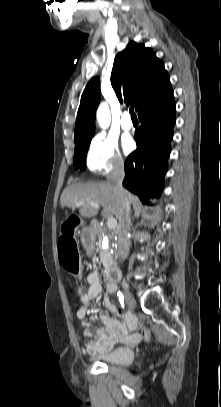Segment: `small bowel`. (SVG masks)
Instances as JSON below:
<instances>
[{
    "label": "small bowel",
    "instance_id": "small-bowel-1",
    "mask_svg": "<svg viewBox=\"0 0 221 407\" xmlns=\"http://www.w3.org/2000/svg\"><path fill=\"white\" fill-rule=\"evenodd\" d=\"M88 289L80 298L76 316L82 321L90 340L83 349L87 354H102L111 351L117 344H135L139 342L140 335L136 332L138 319L134 314H128L121 323L118 319L100 314L103 327H99L95 317L87 319L89 314L88 303L90 300L101 296L107 310L114 316H120L121 310L111 303L108 295L117 290L116 283L108 281L103 286L97 271H92L87 276Z\"/></svg>",
    "mask_w": 221,
    "mask_h": 407
}]
</instances>
